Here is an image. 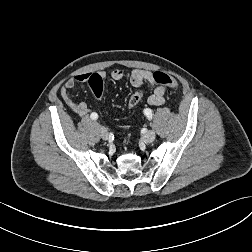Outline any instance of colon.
<instances>
[{
    "label": "colon",
    "instance_id": "colon-1",
    "mask_svg": "<svg viewBox=\"0 0 252 252\" xmlns=\"http://www.w3.org/2000/svg\"><path fill=\"white\" fill-rule=\"evenodd\" d=\"M154 81L162 86L170 88L172 90L178 89V82L175 78L163 72H155L153 74ZM87 84L93 94L97 98H102L106 94L105 82L101 75L95 73L89 76ZM143 99V93L141 91L134 92L128 99V108H135Z\"/></svg>",
    "mask_w": 252,
    "mask_h": 252
}]
</instances>
